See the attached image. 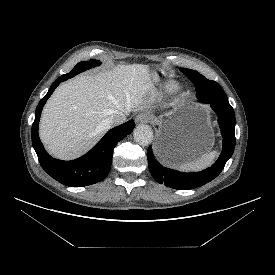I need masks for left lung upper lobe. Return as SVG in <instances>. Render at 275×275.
Listing matches in <instances>:
<instances>
[{
  "label": "left lung upper lobe",
  "instance_id": "left-lung-upper-lobe-1",
  "mask_svg": "<svg viewBox=\"0 0 275 275\" xmlns=\"http://www.w3.org/2000/svg\"><path fill=\"white\" fill-rule=\"evenodd\" d=\"M180 70L195 84L197 91V98L202 99L203 97L220 99L227 101L228 99L221 89L219 84L215 81L206 79L203 75L195 70L180 68ZM212 84V88H207L208 85Z\"/></svg>",
  "mask_w": 275,
  "mask_h": 275
}]
</instances>
